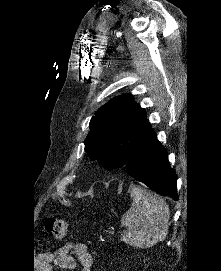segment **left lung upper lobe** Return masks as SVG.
I'll return each mask as SVG.
<instances>
[{
    "mask_svg": "<svg viewBox=\"0 0 221 271\" xmlns=\"http://www.w3.org/2000/svg\"><path fill=\"white\" fill-rule=\"evenodd\" d=\"M90 129L85 151L108 169L125 166L130 154L153 133L131 94L117 96L99 108Z\"/></svg>",
    "mask_w": 221,
    "mask_h": 271,
    "instance_id": "1",
    "label": "left lung upper lobe"
}]
</instances>
